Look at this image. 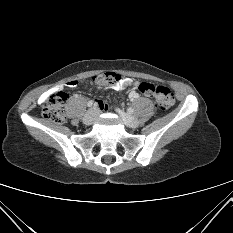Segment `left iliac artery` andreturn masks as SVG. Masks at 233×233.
Segmentation results:
<instances>
[{
    "label": "left iliac artery",
    "instance_id": "1",
    "mask_svg": "<svg viewBox=\"0 0 233 233\" xmlns=\"http://www.w3.org/2000/svg\"><path fill=\"white\" fill-rule=\"evenodd\" d=\"M128 112H129L130 114H132V113L134 112V109L131 108V107H129V108H128Z\"/></svg>",
    "mask_w": 233,
    "mask_h": 233
}]
</instances>
